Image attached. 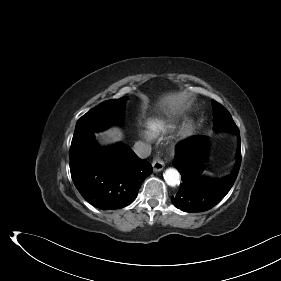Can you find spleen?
I'll return each instance as SVG.
<instances>
[{
  "label": "spleen",
  "instance_id": "spleen-1",
  "mask_svg": "<svg viewBox=\"0 0 281 281\" xmlns=\"http://www.w3.org/2000/svg\"><path fill=\"white\" fill-rule=\"evenodd\" d=\"M203 174L208 175V176H212L213 174L207 171H204Z\"/></svg>",
  "mask_w": 281,
  "mask_h": 281
}]
</instances>
